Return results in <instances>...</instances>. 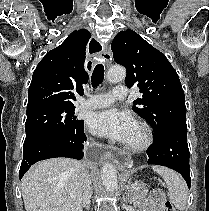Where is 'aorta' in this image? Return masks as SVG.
I'll return each instance as SVG.
<instances>
[{
	"mask_svg": "<svg viewBox=\"0 0 209 211\" xmlns=\"http://www.w3.org/2000/svg\"><path fill=\"white\" fill-rule=\"evenodd\" d=\"M126 70L122 66H113L107 72V80L110 83H118L125 79ZM101 179L107 191L113 192L117 189V171L111 163H104L101 169Z\"/></svg>",
	"mask_w": 209,
	"mask_h": 211,
	"instance_id": "762f6f07",
	"label": "aorta"
}]
</instances>
